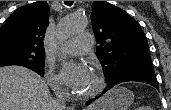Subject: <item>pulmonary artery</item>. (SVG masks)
<instances>
[{"mask_svg": "<svg viewBox=\"0 0 171 110\" xmlns=\"http://www.w3.org/2000/svg\"><path fill=\"white\" fill-rule=\"evenodd\" d=\"M93 45V38L90 33H80L72 39L68 40L64 49L68 54L80 55L91 49Z\"/></svg>", "mask_w": 171, "mask_h": 110, "instance_id": "pulmonary-artery-1", "label": "pulmonary artery"}]
</instances>
